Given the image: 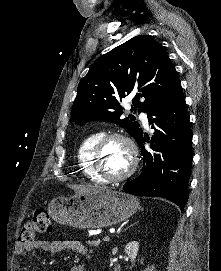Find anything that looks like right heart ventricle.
<instances>
[{"instance_id":"e07e8e85","label":"right heart ventricle","mask_w":221,"mask_h":271,"mask_svg":"<svg viewBox=\"0 0 221 271\" xmlns=\"http://www.w3.org/2000/svg\"><path fill=\"white\" fill-rule=\"evenodd\" d=\"M103 133L100 131H94L86 135L79 143L77 149V159L82 171V176L84 179H93V181H98V183H107V178H102L99 171H96L94 157L91 155V150L96 149V144H100V138Z\"/></svg>"}]
</instances>
